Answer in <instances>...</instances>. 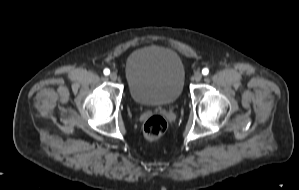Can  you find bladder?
<instances>
[{
	"label": "bladder",
	"mask_w": 299,
	"mask_h": 190,
	"mask_svg": "<svg viewBox=\"0 0 299 190\" xmlns=\"http://www.w3.org/2000/svg\"><path fill=\"white\" fill-rule=\"evenodd\" d=\"M124 77L129 94L137 104L167 105L175 102L183 91L185 66L176 50L147 45L126 59Z\"/></svg>",
	"instance_id": "31cf9c89"
}]
</instances>
